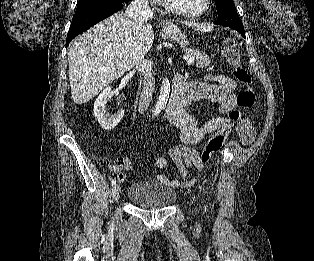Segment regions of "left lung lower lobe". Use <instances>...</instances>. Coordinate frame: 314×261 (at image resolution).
Segmentation results:
<instances>
[{
  "instance_id": "obj_1",
  "label": "left lung lower lobe",
  "mask_w": 314,
  "mask_h": 261,
  "mask_svg": "<svg viewBox=\"0 0 314 261\" xmlns=\"http://www.w3.org/2000/svg\"><path fill=\"white\" fill-rule=\"evenodd\" d=\"M237 30L243 37H245L244 29H235Z\"/></svg>"
}]
</instances>
